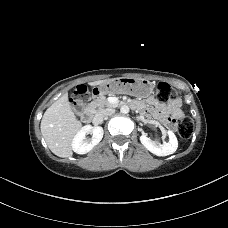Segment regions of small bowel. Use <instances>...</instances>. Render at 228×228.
<instances>
[{
    "mask_svg": "<svg viewBox=\"0 0 228 228\" xmlns=\"http://www.w3.org/2000/svg\"><path fill=\"white\" fill-rule=\"evenodd\" d=\"M149 102L151 104H155V108L158 112L159 119H161L166 124L170 123L171 121V118L169 115H171L172 117H179L182 115V112L180 109L181 101L178 99L172 101L167 105L158 103L154 97L149 98ZM131 105L134 108L142 109L145 113L149 112V109L143 107L138 100H133L131 102Z\"/></svg>",
    "mask_w": 228,
    "mask_h": 228,
    "instance_id": "small-bowel-1",
    "label": "small bowel"
}]
</instances>
